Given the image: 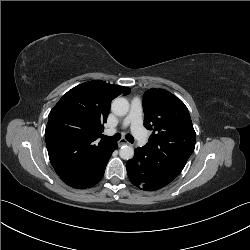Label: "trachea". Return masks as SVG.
Returning a JSON list of instances; mask_svg holds the SVG:
<instances>
[{"mask_svg": "<svg viewBox=\"0 0 250 250\" xmlns=\"http://www.w3.org/2000/svg\"><path fill=\"white\" fill-rule=\"evenodd\" d=\"M121 138V134L120 133H116L114 136L112 137H109V136H103V139L104 140H107V141H113V142H116L118 140H120ZM125 139L130 142V143H133L134 142V138L131 134H126L125 135Z\"/></svg>", "mask_w": 250, "mask_h": 250, "instance_id": "trachea-1", "label": "trachea"}]
</instances>
